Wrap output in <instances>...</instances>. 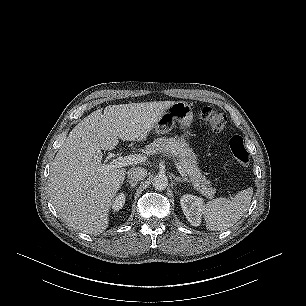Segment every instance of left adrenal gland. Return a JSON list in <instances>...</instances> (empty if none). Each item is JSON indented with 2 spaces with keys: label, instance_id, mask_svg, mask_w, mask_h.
Masks as SVG:
<instances>
[{
  "label": "left adrenal gland",
  "instance_id": "obj_1",
  "mask_svg": "<svg viewBox=\"0 0 306 306\" xmlns=\"http://www.w3.org/2000/svg\"><path fill=\"white\" fill-rule=\"evenodd\" d=\"M173 179H174V182H175V185H177L178 184V182H181V183H183L185 180L184 179H182V178H180V177H173Z\"/></svg>",
  "mask_w": 306,
  "mask_h": 306
}]
</instances>
